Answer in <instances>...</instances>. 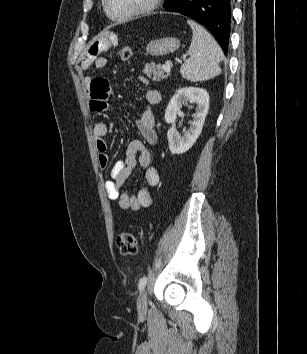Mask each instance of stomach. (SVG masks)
I'll list each match as a JSON object with an SVG mask.
<instances>
[{
  "instance_id": "obj_1",
  "label": "stomach",
  "mask_w": 307,
  "mask_h": 354,
  "mask_svg": "<svg viewBox=\"0 0 307 354\" xmlns=\"http://www.w3.org/2000/svg\"><path fill=\"white\" fill-rule=\"evenodd\" d=\"M180 41L174 37H164L150 41L146 46V53L151 56H163L175 52Z\"/></svg>"
}]
</instances>
